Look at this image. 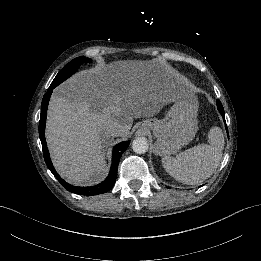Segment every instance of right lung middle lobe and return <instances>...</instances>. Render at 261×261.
<instances>
[{
    "label": "right lung middle lobe",
    "instance_id": "dd1d6c3e",
    "mask_svg": "<svg viewBox=\"0 0 261 261\" xmlns=\"http://www.w3.org/2000/svg\"><path fill=\"white\" fill-rule=\"evenodd\" d=\"M91 59L86 58L84 56L77 57L70 61L54 78L50 87L55 88L60 83L69 78L72 74L76 72V70L80 67V65L84 63H90Z\"/></svg>",
    "mask_w": 261,
    "mask_h": 261
}]
</instances>
